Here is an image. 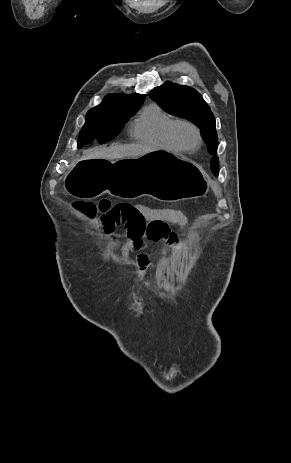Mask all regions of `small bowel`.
<instances>
[{
    "label": "small bowel",
    "instance_id": "c3829d8e",
    "mask_svg": "<svg viewBox=\"0 0 291 463\" xmlns=\"http://www.w3.org/2000/svg\"><path fill=\"white\" fill-rule=\"evenodd\" d=\"M127 227V240L121 242L111 229L107 230L111 247L116 248L125 265L132 263L131 254H135V263L143 273L150 271L149 255L145 251V239L165 241L172 249H179L180 235L173 231L169 224H177L183 231L188 228L186 216L178 210L170 208H145L131 206L124 216Z\"/></svg>",
    "mask_w": 291,
    "mask_h": 463
}]
</instances>
